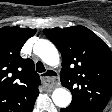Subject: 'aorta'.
I'll return each instance as SVG.
<instances>
[{
	"label": "aorta",
	"mask_w": 112,
	"mask_h": 112,
	"mask_svg": "<svg viewBox=\"0 0 112 112\" xmlns=\"http://www.w3.org/2000/svg\"><path fill=\"white\" fill-rule=\"evenodd\" d=\"M34 50L44 63L50 66L59 64V53L50 41L39 40ZM52 100L56 106L66 108L71 103L72 95L66 88H56L52 93Z\"/></svg>",
	"instance_id": "1"
}]
</instances>
